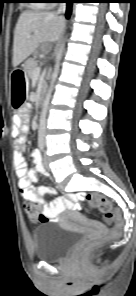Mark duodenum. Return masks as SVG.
I'll use <instances>...</instances> for the list:
<instances>
[{"label": "duodenum", "mask_w": 136, "mask_h": 296, "mask_svg": "<svg viewBox=\"0 0 136 296\" xmlns=\"http://www.w3.org/2000/svg\"><path fill=\"white\" fill-rule=\"evenodd\" d=\"M42 102H43V96H40L39 99H38V103L42 104Z\"/></svg>", "instance_id": "duodenum-1"}]
</instances>
